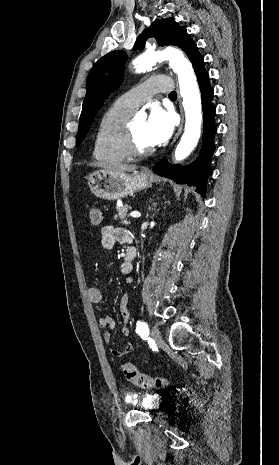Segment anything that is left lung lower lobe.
<instances>
[{
	"label": "left lung lower lobe",
	"mask_w": 279,
	"mask_h": 465,
	"mask_svg": "<svg viewBox=\"0 0 279 465\" xmlns=\"http://www.w3.org/2000/svg\"><path fill=\"white\" fill-rule=\"evenodd\" d=\"M192 65L198 79L202 96V109L204 113L203 141L200 154L196 161L187 167H181L179 165L170 166L166 160L163 159L153 168V171L160 176L170 178L178 183L195 185L199 189V193L202 197H204L206 180L211 174L209 162L215 150V106L212 103L214 92L208 80V72L204 68L203 57L200 56Z\"/></svg>",
	"instance_id": "0a47b994"
}]
</instances>
